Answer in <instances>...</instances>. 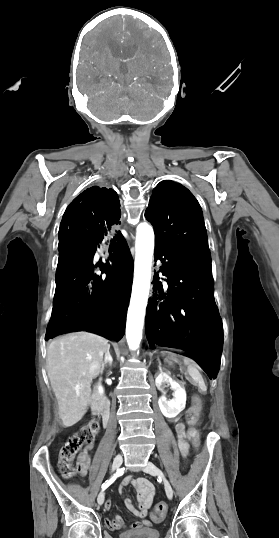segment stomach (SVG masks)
Wrapping results in <instances>:
<instances>
[{
    "mask_svg": "<svg viewBox=\"0 0 279 538\" xmlns=\"http://www.w3.org/2000/svg\"><path fill=\"white\" fill-rule=\"evenodd\" d=\"M172 361H173V356L172 355H167L165 362H168V364H171Z\"/></svg>",
    "mask_w": 279,
    "mask_h": 538,
    "instance_id": "1",
    "label": "stomach"
}]
</instances>
